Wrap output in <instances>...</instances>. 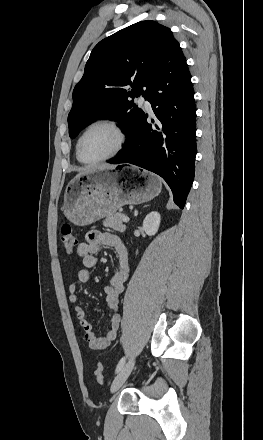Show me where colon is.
<instances>
[{
  "label": "colon",
  "mask_w": 263,
  "mask_h": 440,
  "mask_svg": "<svg viewBox=\"0 0 263 440\" xmlns=\"http://www.w3.org/2000/svg\"><path fill=\"white\" fill-rule=\"evenodd\" d=\"M60 239L63 249L69 254L72 253L77 247L78 240L72 226L69 223H65L62 226ZM94 376L97 383H104L103 367L101 365H98L96 367L94 371Z\"/></svg>",
  "instance_id": "colon-1"
}]
</instances>
